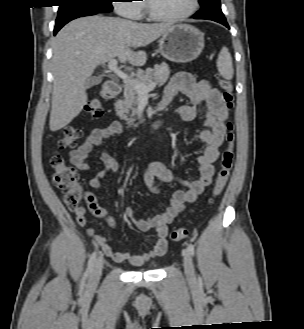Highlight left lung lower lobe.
Returning <instances> with one entry per match:
<instances>
[{
  "label": "left lung lower lobe",
  "mask_w": 304,
  "mask_h": 329,
  "mask_svg": "<svg viewBox=\"0 0 304 329\" xmlns=\"http://www.w3.org/2000/svg\"><path fill=\"white\" fill-rule=\"evenodd\" d=\"M193 17L195 19L213 20L229 28L221 10L220 0H208Z\"/></svg>",
  "instance_id": "obj_1"
}]
</instances>
